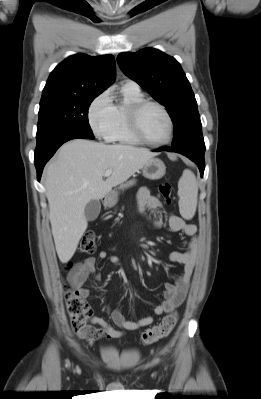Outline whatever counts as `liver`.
<instances>
[{
	"instance_id": "1",
	"label": "liver",
	"mask_w": 261,
	"mask_h": 399,
	"mask_svg": "<svg viewBox=\"0 0 261 399\" xmlns=\"http://www.w3.org/2000/svg\"><path fill=\"white\" fill-rule=\"evenodd\" d=\"M155 155L130 145H106L85 139L62 145L45 169L49 219L62 263L72 258L87 229L86 205L107 196ZM107 170H112V174L103 180Z\"/></svg>"
}]
</instances>
